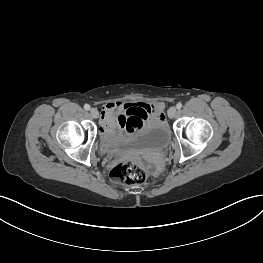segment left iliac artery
<instances>
[{
	"label": "left iliac artery",
	"instance_id": "obj_1",
	"mask_svg": "<svg viewBox=\"0 0 263 263\" xmlns=\"http://www.w3.org/2000/svg\"><path fill=\"white\" fill-rule=\"evenodd\" d=\"M176 107H177V109H181L182 108V104L181 103H177Z\"/></svg>",
	"mask_w": 263,
	"mask_h": 263
}]
</instances>
